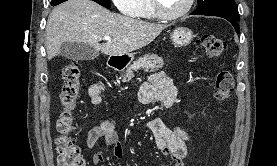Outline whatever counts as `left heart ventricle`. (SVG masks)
Wrapping results in <instances>:
<instances>
[{
  "label": "left heart ventricle",
  "mask_w": 277,
  "mask_h": 166,
  "mask_svg": "<svg viewBox=\"0 0 277 166\" xmlns=\"http://www.w3.org/2000/svg\"><path fill=\"white\" fill-rule=\"evenodd\" d=\"M165 12L169 14L180 11L186 4L187 0H160Z\"/></svg>",
  "instance_id": "b2bd125f"
}]
</instances>
